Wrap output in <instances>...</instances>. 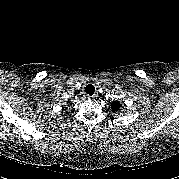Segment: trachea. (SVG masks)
Segmentation results:
<instances>
[{
	"instance_id": "trachea-1",
	"label": "trachea",
	"mask_w": 179,
	"mask_h": 179,
	"mask_svg": "<svg viewBox=\"0 0 179 179\" xmlns=\"http://www.w3.org/2000/svg\"><path fill=\"white\" fill-rule=\"evenodd\" d=\"M86 94L92 96L95 92V87L92 84H88L85 88Z\"/></svg>"
}]
</instances>
